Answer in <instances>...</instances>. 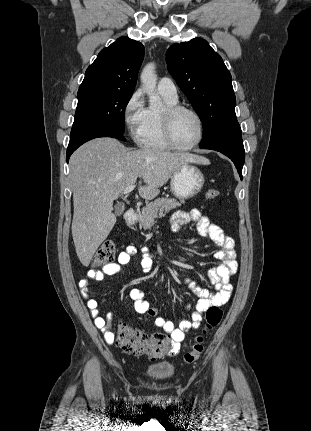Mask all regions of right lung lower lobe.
I'll return each mask as SVG.
<instances>
[{"mask_svg":"<svg viewBox=\"0 0 311 431\" xmlns=\"http://www.w3.org/2000/svg\"><path fill=\"white\" fill-rule=\"evenodd\" d=\"M124 133L106 127H88L71 134L70 142L67 148V162L71 154L83 143L98 137H112L125 141Z\"/></svg>","mask_w":311,"mask_h":431,"instance_id":"obj_1","label":"right lung lower lobe"}]
</instances>
